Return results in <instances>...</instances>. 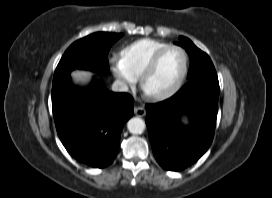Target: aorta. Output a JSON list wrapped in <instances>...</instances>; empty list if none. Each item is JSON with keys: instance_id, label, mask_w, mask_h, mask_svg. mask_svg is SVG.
I'll return each mask as SVG.
<instances>
[{"instance_id": "1", "label": "aorta", "mask_w": 272, "mask_h": 198, "mask_svg": "<svg viewBox=\"0 0 272 198\" xmlns=\"http://www.w3.org/2000/svg\"><path fill=\"white\" fill-rule=\"evenodd\" d=\"M127 128L132 134H141L145 129V122L141 118L134 117L128 121Z\"/></svg>"}]
</instances>
